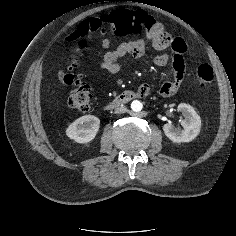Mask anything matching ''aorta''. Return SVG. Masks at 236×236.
<instances>
[{
    "label": "aorta",
    "mask_w": 236,
    "mask_h": 236,
    "mask_svg": "<svg viewBox=\"0 0 236 236\" xmlns=\"http://www.w3.org/2000/svg\"><path fill=\"white\" fill-rule=\"evenodd\" d=\"M142 108H143L142 102H140L139 100H134V101H132V103H131V109H132V111H134V112H139V111L142 110Z\"/></svg>",
    "instance_id": "762f6f07"
}]
</instances>
